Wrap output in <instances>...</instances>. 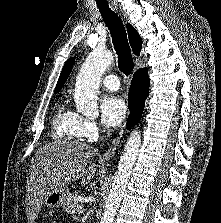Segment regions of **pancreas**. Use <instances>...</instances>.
Segmentation results:
<instances>
[{"mask_svg": "<svg viewBox=\"0 0 221 223\" xmlns=\"http://www.w3.org/2000/svg\"><path fill=\"white\" fill-rule=\"evenodd\" d=\"M74 196L75 194H71L63 205V210L72 215L81 212L82 209L81 203Z\"/></svg>", "mask_w": 221, "mask_h": 223, "instance_id": "obj_1", "label": "pancreas"}]
</instances>
